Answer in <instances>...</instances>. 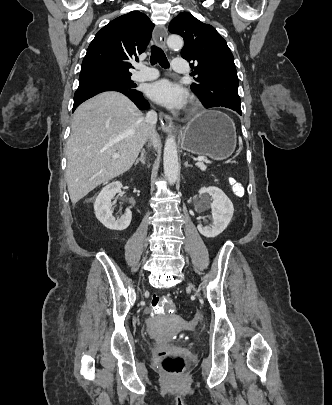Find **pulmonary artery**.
Segmentation results:
<instances>
[{
    "instance_id": "1",
    "label": "pulmonary artery",
    "mask_w": 332,
    "mask_h": 405,
    "mask_svg": "<svg viewBox=\"0 0 332 405\" xmlns=\"http://www.w3.org/2000/svg\"><path fill=\"white\" fill-rule=\"evenodd\" d=\"M133 79L135 81H149L158 77V71L154 68H148L144 65H139ZM172 68L176 73L185 74L188 72L187 61L183 58H175L172 62Z\"/></svg>"
}]
</instances>
